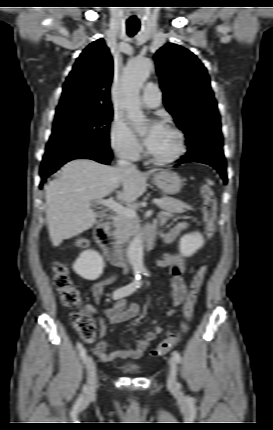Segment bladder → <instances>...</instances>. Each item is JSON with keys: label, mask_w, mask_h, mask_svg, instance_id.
<instances>
[{"label": "bladder", "mask_w": 273, "mask_h": 430, "mask_svg": "<svg viewBox=\"0 0 273 430\" xmlns=\"http://www.w3.org/2000/svg\"><path fill=\"white\" fill-rule=\"evenodd\" d=\"M127 373H136L138 371V367L136 365H130L125 368Z\"/></svg>", "instance_id": "bladder-1"}]
</instances>
